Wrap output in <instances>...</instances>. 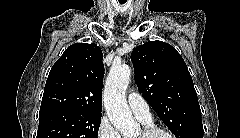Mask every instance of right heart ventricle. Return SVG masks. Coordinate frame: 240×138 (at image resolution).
I'll use <instances>...</instances> for the list:
<instances>
[{"label":"right heart ventricle","instance_id":"right-heart-ventricle-1","mask_svg":"<svg viewBox=\"0 0 240 138\" xmlns=\"http://www.w3.org/2000/svg\"><path fill=\"white\" fill-rule=\"evenodd\" d=\"M142 123H143V125H151V119L150 120H141V119H139Z\"/></svg>","mask_w":240,"mask_h":138}]
</instances>
